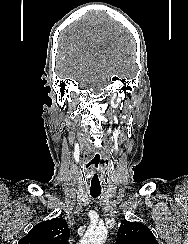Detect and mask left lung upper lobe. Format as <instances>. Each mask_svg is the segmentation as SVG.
<instances>
[{"label":"left lung upper lobe","mask_w":188,"mask_h":244,"mask_svg":"<svg viewBox=\"0 0 188 244\" xmlns=\"http://www.w3.org/2000/svg\"><path fill=\"white\" fill-rule=\"evenodd\" d=\"M117 244H158V242L147 226L124 219L117 233Z\"/></svg>","instance_id":"obj_1"}]
</instances>
